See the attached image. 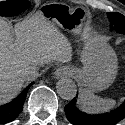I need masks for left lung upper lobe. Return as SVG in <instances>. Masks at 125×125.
I'll return each instance as SVG.
<instances>
[{
	"label": "left lung upper lobe",
	"mask_w": 125,
	"mask_h": 125,
	"mask_svg": "<svg viewBox=\"0 0 125 125\" xmlns=\"http://www.w3.org/2000/svg\"><path fill=\"white\" fill-rule=\"evenodd\" d=\"M112 25H115V30L118 33L125 34V17L117 12L107 13ZM112 25L110 26L112 28Z\"/></svg>",
	"instance_id": "5c2ea615"
}]
</instances>
